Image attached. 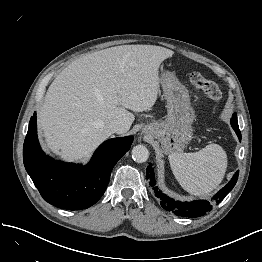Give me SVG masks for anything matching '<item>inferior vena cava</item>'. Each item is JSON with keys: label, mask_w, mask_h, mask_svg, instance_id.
Wrapping results in <instances>:
<instances>
[{"label": "inferior vena cava", "mask_w": 262, "mask_h": 262, "mask_svg": "<svg viewBox=\"0 0 262 262\" xmlns=\"http://www.w3.org/2000/svg\"><path fill=\"white\" fill-rule=\"evenodd\" d=\"M105 129L109 134H122L126 130L125 127L119 122H110L106 124Z\"/></svg>", "instance_id": "obj_1"}]
</instances>
